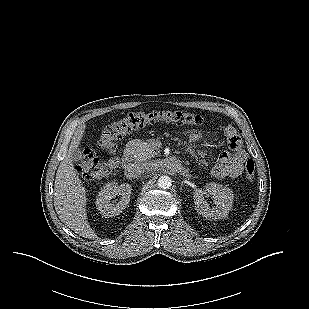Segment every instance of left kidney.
Returning <instances> with one entry per match:
<instances>
[{"label": "left kidney", "mask_w": 309, "mask_h": 309, "mask_svg": "<svg viewBox=\"0 0 309 309\" xmlns=\"http://www.w3.org/2000/svg\"><path fill=\"white\" fill-rule=\"evenodd\" d=\"M208 193L212 195L215 202V208L209 207L206 200L204 199V194ZM194 203L196 211L203 217L208 219L216 220L225 218L233 203V192L230 188L216 184L208 183L205 186V190H196L194 192Z\"/></svg>", "instance_id": "left-kidney-1"}]
</instances>
